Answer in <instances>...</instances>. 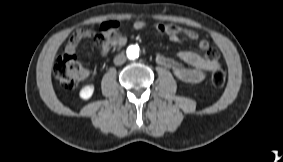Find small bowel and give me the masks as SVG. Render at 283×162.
I'll use <instances>...</instances> for the list:
<instances>
[{"instance_id":"obj_1","label":"small bowel","mask_w":283,"mask_h":162,"mask_svg":"<svg viewBox=\"0 0 283 162\" xmlns=\"http://www.w3.org/2000/svg\"><path fill=\"white\" fill-rule=\"evenodd\" d=\"M118 27V22L106 21L101 25L100 33H95L90 29H78L65 45V53L74 55L81 40L93 38L101 45L102 55L106 56L113 47L123 46L127 42V37L119 32ZM132 27L134 30H143L148 27V23L137 20ZM154 29L172 42H180L183 36L194 40L203 52V55H200L192 51H180L176 54V59L166 57L163 54L156 55V62L170 69L180 81L200 83L205 79L207 72L220 66L217 51L210 48L208 41L203 39L196 31L166 23H157L154 25Z\"/></svg>"}]
</instances>
